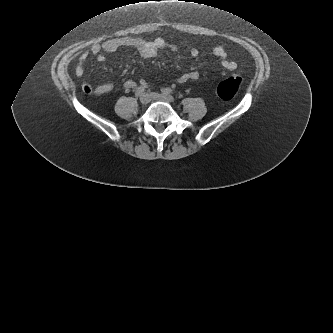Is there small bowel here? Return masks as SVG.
<instances>
[{"label": "small bowel", "instance_id": "c3829d8e", "mask_svg": "<svg viewBox=\"0 0 333 333\" xmlns=\"http://www.w3.org/2000/svg\"><path fill=\"white\" fill-rule=\"evenodd\" d=\"M124 47H132L138 50L140 55L144 58H152L155 57L159 50L161 49H169L173 52H178V48L170 44L163 39H155L152 41H146L141 38H135V37H120V38H113L106 40L103 43L93 44L91 45L86 51H84L79 58V62L75 68V75L77 77H82L85 72V65L86 60L88 56L91 54L96 57V59L100 62H104L106 57L104 55V52H114L120 48ZM189 53L192 57H196L199 54V51L191 47L189 49ZM213 54L216 58H218L220 65L227 71H233L236 69L237 65L234 61L228 58L227 53L225 49L221 46H217L213 50ZM199 72L198 71H190L187 73L182 74L176 79L177 83H185L188 81H194L199 78ZM140 84L143 87H149V85L144 81L141 80ZM125 89H133L136 87V83L133 81H126L124 83ZM113 83L110 81H107L97 87H93L90 83H83L82 89L85 93H96L99 95L106 94L113 90Z\"/></svg>", "mask_w": 333, "mask_h": 333}]
</instances>
